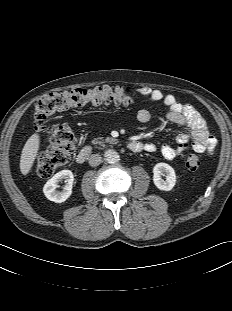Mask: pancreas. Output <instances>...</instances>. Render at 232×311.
<instances>
[{"instance_id":"1","label":"pancreas","mask_w":232,"mask_h":311,"mask_svg":"<svg viewBox=\"0 0 232 311\" xmlns=\"http://www.w3.org/2000/svg\"><path fill=\"white\" fill-rule=\"evenodd\" d=\"M93 144H100L103 145L104 143H116V139L107 137L106 139L102 140V137H98L92 140Z\"/></svg>"}]
</instances>
